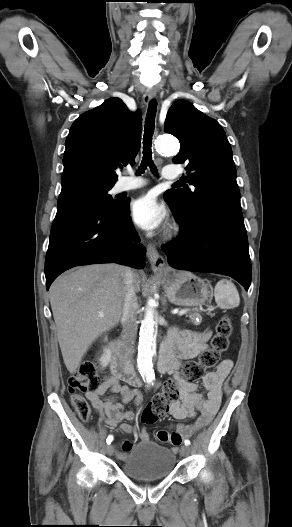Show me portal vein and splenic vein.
I'll return each instance as SVG.
<instances>
[{"instance_id":"obj_1","label":"portal vein and splenic vein","mask_w":292,"mask_h":527,"mask_svg":"<svg viewBox=\"0 0 292 527\" xmlns=\"http://www.w3.org/2000/svg\"><path fill=\"white\" fill-rule=\"evenodd\" d=\"M188 311H189V310H187V309L180 310V311L178 312V315H184V314H186ZM99 317H104V315H103V314H99Z\"/></svg>"}]
</instances>
